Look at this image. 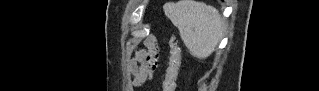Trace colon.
Instances as JSON below:
<instances>
[{
  "mask_svg": "<svg viewBox=\"0 0 319 91\" xmlns=\"http://www.w3.org/2000/svg\"><path fill=\"white\" fill-rule=\"evenodd\" d=\"M170 60L169 66L166 72L165 81L163 83L164 91H175L177 88V78L181 69V47L177 39L172 36L170 38ZM158 52L154 45H150L148 52L144 53L139 61L141 68L144 70H152L157 65Z\"/></svg>",
  "mask_w": 319,
  "mask_h": 91,
  "instance_id": "5ec220e1",
  "label": "colon"
}]
</instances>
